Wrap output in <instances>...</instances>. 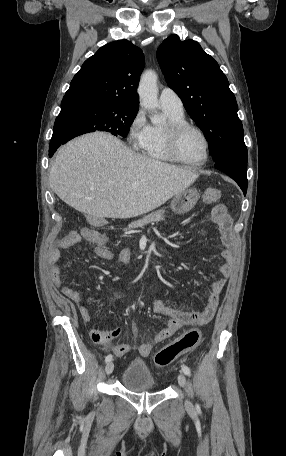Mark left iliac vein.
Wrapping results in <instances>:
<instances>
[{
    "label": "left iliac vein",
    "mask_w": 286,
    "mask_h": 456,
    "mask_svg": "<svg viewBox=\"0 0 286 456\" xmlns=\"http://www.w3.org/2000/svg\"><path fill=\"white\" fill-rule=\"evenodd\" d=\"M178 383H179V385H180L182 388H185V386H186V377L184 376V374L180 373V374L178 375ZM186 406H187L188 408H191V407H192L191 403H190L188 400L186 401Z\"/></svg>",
    "instance_id": "obj_1"
}]
</instances>
